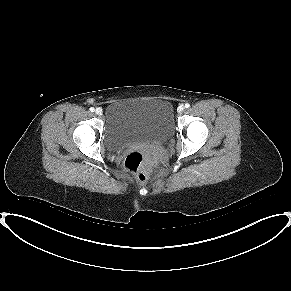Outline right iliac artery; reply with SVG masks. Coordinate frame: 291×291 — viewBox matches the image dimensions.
Instances as JSON below:
<instances>
[{"mask_svg":"<svg viewBox=\"0 0 291 291\" xmlns=\"http://www.w3.org/2000/svg\"><path fill=\"white\" fill-rule=\"evenodd\" d=\"M90 111H91V112H94V111H95V109H94L93 107H91V108H90Z\"/></svg>","mask_w":291,"mask_h":291,"instance_id":"1","label":"right iliac artery"}]
</instances>
